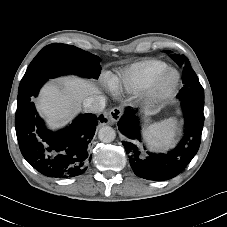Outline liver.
<instances>
[{"label":"liver","mask_w":227,"mask_h":227,"mask_svg":"<svg viewBox=\"0 0 227 227\" xmlns=\"http://www.w3.org/2000/svg\"><path fill=\"white\" fill-rule=\"evenodd\" d=\"M60 82L62 86L45 85L36 102L37 109L52 126L66 123L74 116L81 102L100 93L99 88L90 80L64 77Z\"/></svg>","instance_id":"6515ba94"}]
</instances>
